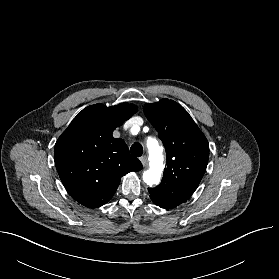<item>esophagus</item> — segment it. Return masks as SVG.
Wrapping results in <instances>:
<instances>
[{
	"label": "esophagus",
	"mask_w": 279,
	"mask_h": 279,
	"mask_svg": "<svg viewBox=\"0 0 279 279\" xmlns=\"http://www.w3.org/2000/svg\"><path fill=\"white\" fill-rule=\"evenodd\" d=\"M140 161H141V163H142V165H143L144 167L147 166V164H148L147 156H142V157L140 158Z\"/></svg>",
	"instance_id": "1"
}]
</instances>
